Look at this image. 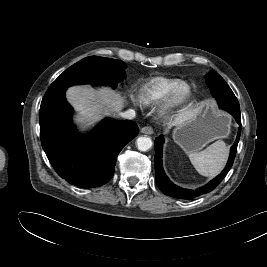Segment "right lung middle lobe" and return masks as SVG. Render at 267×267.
Returning a JSON list of instances; mask_svg holds the SVG:
<instances>
[{"label": "right lung middle lobe", "instance_id": "1", "mask_svg": "<svg viewBox=\"0 0 267 267\" xmlns=\"http://www.w3.org/2000/svg\"><path fill=\"white\" fill-rule=\"evenodd\" d=\"M126 64L98 56L86 57L66 69L49 87L43 99L76 84H98L116 87L125 77Z\"/></svg>", "mask_w": 267, "mask_h": 267}]
</instances>
